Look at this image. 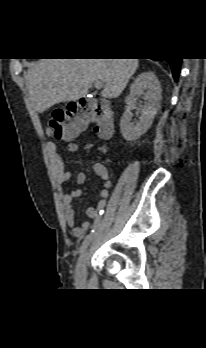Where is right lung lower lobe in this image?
<instances>
[{"label": "right lung lower lobe", "instance_id": "right-lung-lower-lobe-1", "mask_svg": "<svg viewBox=\"0 0 206 348\" xmlns=\"http://www.w3.org/2000/svg\"><path fill=\"white\" fill-rule=\"evenodd\" d=\"M172 68V73L174 80L177 81L179 73H180V66H181V58H168L165 59Z\"/></svg>", "mask_w": 206, "mask_h": 348}]
</instances>
